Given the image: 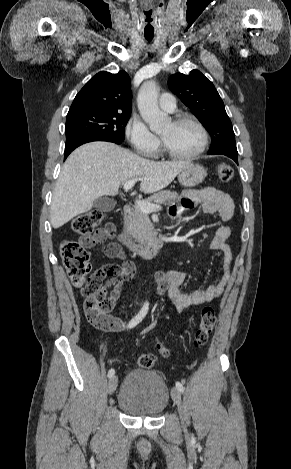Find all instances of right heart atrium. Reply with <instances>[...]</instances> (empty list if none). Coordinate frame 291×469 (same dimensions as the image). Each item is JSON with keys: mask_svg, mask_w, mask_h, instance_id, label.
Segmentation results:
<instances>
[{"mask_svg": "<svg viewBox=\"0 0 291 469\" xmlns=\"http://www.w3.org/2000/svg\"><path fill=\"white\" fill-rule=\"evenodd\" d=\"M125 135L133 149L143 156H152L158 150L159 139L137 116L129 119Z\"/></svg>", "mask_w": 291, "mask_h": 469, "instance_id": "right-heart-atrium-1", "label": "right heart atrium"}]
</instances>
